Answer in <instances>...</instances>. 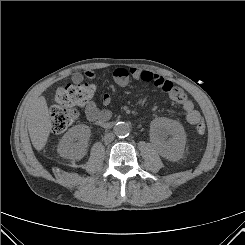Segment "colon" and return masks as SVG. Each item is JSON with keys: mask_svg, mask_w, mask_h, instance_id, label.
Listing matches in <instances>:
<instances>
[{"mask_svg": "<svg viewBox=\"0 0 245 245\" xmlns=\"http://www.w3.org/2000/svg\"><path fill=\"white\" fill-rule=\"evenodd\" d=\"M95 85L91 83L71 84L60 86L54 96V104L51 106V129L54 133H62L70 127L77 118L74 108L88 102L95 94ZM195 131L198 135L205 133L203 121L197 123Z\"/></svg>", "mask_w": 245, "mask_h": 245, "instance_id": "1", "label": "colon"}]
</instances>
